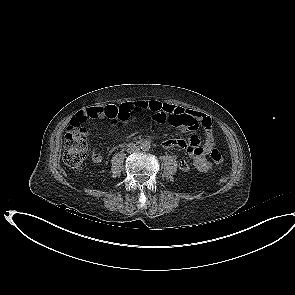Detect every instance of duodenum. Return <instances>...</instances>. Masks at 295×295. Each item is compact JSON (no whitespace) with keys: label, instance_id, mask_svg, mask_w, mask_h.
Masks as SVG:
<instances>
[{"label":"duodenum","instance_id":"1","mask_svg":"<svg viewBox=\"0 0 295 295\" xmlns=\"http://www.w3.org/2000/svg\"><path fill=\"white\" fill-rule=\"evenodd\" d=\"M140 144V141H133V142H131L129 145L130 146H137V145H139Z\"/></svg>","mask_w":295,"mask_h":295}]
</instances>
